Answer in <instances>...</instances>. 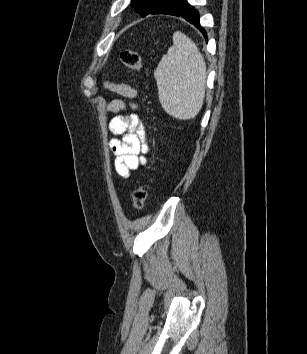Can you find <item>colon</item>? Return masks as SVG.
<instances>
[{"instance_id":"5ec220e1","label":"colon","mask_w":307,"mask_h":354,"mask_svg":"<svg viewBox=\"0 0 307 354\" xmlns=\"http://www.w3.org/2000/svg\"><path fill=\"white\" fill-rule=\"evenodd\" d=\"M122 63L133 71L136 75L140 72L142 63L140 54L137 51L126 49L121 53ZM147 200V189L144 182L138 184L132 194L133 206L136 209H142Z\"/></svg>"}]
</instances>
